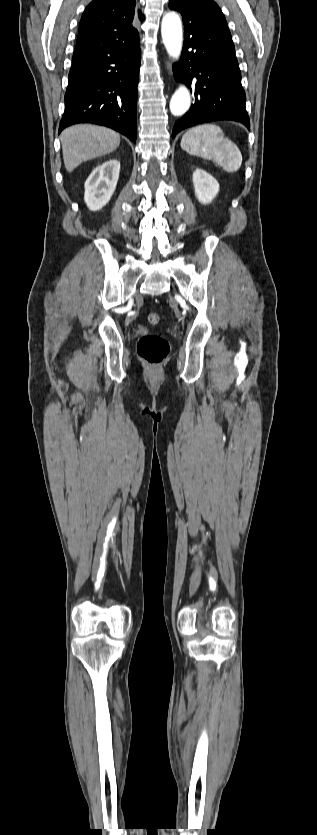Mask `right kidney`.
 Masks as SVG:
<instances>
[{
	"instance_id": "obj_1",
	"label": "right kidney",
	"mask_w": 317,
	"mask_h": 835,
	"mask_svg": "<svg viewBox=\"0 0 317 835\" xmlns=\"http://www.w3.org/2000/svg\"><path fill=\"white\" fill-rule=\"evenodd\" d=\"M120 162L110 159L98 165L85 182L84 200L92 211L102 209L111 199L117 185Z\"/></svg>"
}]
</instances>
